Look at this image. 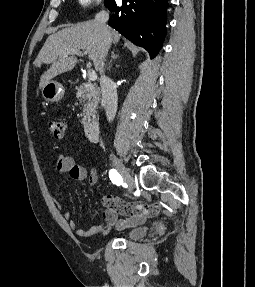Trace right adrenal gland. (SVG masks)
I'll use <instances>...</instances> for the list:
<instances>
[{"mask_svg":"<svg viewBox=\"0 0 255 287\" xmlns=\"http://www.w3.org/2000/svg\"><path fill=\"white\" fill-rule=\"evenodd\" d=\"M117 58H119V56H116L115 52H111V62L112 60H117Z\"/></svg>","mask_w":255,"mask_h":287,"instance_id":"obj_1","label":"right adrenal gland"}]
</instances>
